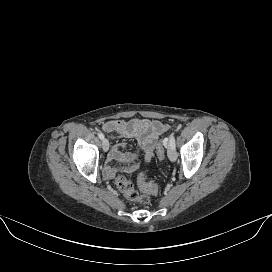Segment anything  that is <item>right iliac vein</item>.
I'll use <instances>...</instances> for the list:
<instances>
[{"label":"right iliac vein","mask_w":272,"mask_h":272,"mask_svg":"<svg viewBox=\"0 0 272 272\" xmlns=\"http://www.w3.org/2000/svg\"><path fill=\"white\" fill-rule=\"evenodd\" d=\"M102 148H103V150L105 152L108 151V149H109V141L107 139H103V141H102Z\"/></svg>","instance_id":"1"}]
</instances>
